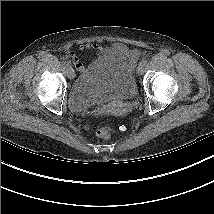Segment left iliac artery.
<instances>
[{"instance_id": "left-iliac-artery-1", "label": "left iliac artery", "mask_w": 214, "mask_h": 214, "mask_svg": "<svg viewBox=\"0 0 214 214\" xmlns=\"http://www.w3.org/2000/svg\"><path fill=\"white\" fill-rule=\"evenodd\" d=\"M140 63H143L144 65H146L147 64V60L143 59Z\"/></svg>"}]
</instances>
